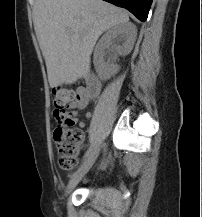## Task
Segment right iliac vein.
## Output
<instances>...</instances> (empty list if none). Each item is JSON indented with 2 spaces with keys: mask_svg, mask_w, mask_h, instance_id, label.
Masks as SVG:
<instances>
[{
  "mask_svg": "<svg viewBox=\"0 0 202 217\" xmlns=\"http://www.w3.org/2000/svg\"><path fill=\"white\" fill-rule=\"evenodd\" d=\"M100 152V147H97L92 154L88 157V159L84 162V164L78 169L76 173L71 177L67 188H66V194H69L81 181V179L84 177V175L90 170V168L95 163L98 155Z\"/></svg>",
  "mask_w": 202,
  "mask_h": 217,
  "instance_id": "63e3f726",
  "label": "right iliac vein"
}]
</instances>
